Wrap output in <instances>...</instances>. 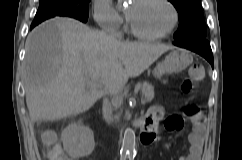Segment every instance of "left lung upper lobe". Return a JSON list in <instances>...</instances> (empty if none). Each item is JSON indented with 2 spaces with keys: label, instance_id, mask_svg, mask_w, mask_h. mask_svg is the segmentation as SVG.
Listing matches in <instances>:
<instances>
[{
  "label": "left lung upper lobe",
  "instance_id": "5c2ea615",
  "mask_svg": "<svg viewBox=\"0 0 242 160\" xmlns=\"http://www.w3.org/2000/svg\"><path fill=\"white\" fill-rule=\"evenodd\" d=\"M179 14V28L174 34L176 41L206 38V24L201 0H169Z\"/></svg>",
  "mask_w": 242,
  "mask_h": 160
}]
</instances>
